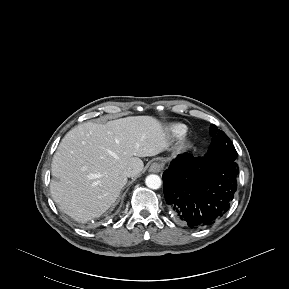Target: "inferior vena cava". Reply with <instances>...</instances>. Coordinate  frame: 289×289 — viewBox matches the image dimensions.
Returning <instances> with one entry per match:
<instances>
[{
  "label": "inferior vena cava",
  "instance_id": "602c4592",
  "mask_svg": "<svg viewBox=\"0 0 289 289\" xmlns=\"http://www.w3.org/2000/svg\"><path fill=\"white\" fill-rule=\"evenodd\" d=\"M132 173H133V171L131 170V168H128V169H126V170L123 172V175H124L125 177H131V176H132Z\"/></svg>",
  "mask_w": 289,
  "mask_h": 289
}]
</instances>
